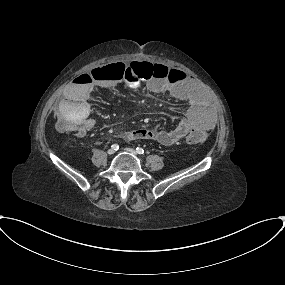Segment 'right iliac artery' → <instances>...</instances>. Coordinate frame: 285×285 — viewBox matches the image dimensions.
Segmentation results:
<instances>
[{
	"label": "right iliac artery",
	"mask_w": 285,
	"mask_h": 285,
	"mask_svg": "<svg viewBox=\"0 0 285 285\" xmlns=\"http://www.w3.org/2000/svg\"><path fill=\"white\" fill-rule=\"evenodd\" d=\"M111 148H112L113 150L117 151V150L119 149V145H118V144H113V145L111 146Z\"/></svg>",
	"instance_id": "right-iliac-artery-1"
}]
</instances>
